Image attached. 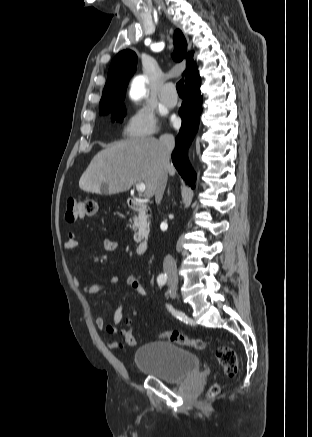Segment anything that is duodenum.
Instances as JSON below:
<instances>
[{
	"mask_svg": "<svg viewBox=\"0 0 312 437\" xmlns=\"http://www.w3.org/2000/svg\"><path fill=\"white\" fill-rule=\"evenodd\" d=\"M128 204L132 210L137 211L141 214H143L147 209L146 203L140 199L130 198L128 200ZM147 249H148V241L145 238L141 239L136 244V253L139 256L144 255L147 252Z\"/></svg>",
	"mask_w": 312,
	"mask_h": 437,
	"instance_id": "duodenum-1",
	"label": "duodenum"
}]
</instances>
